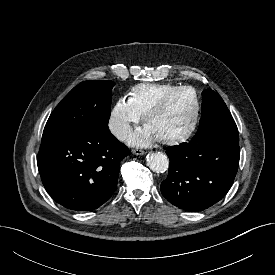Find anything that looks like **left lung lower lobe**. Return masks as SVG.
<instances>
[{"mask_svg": "<svg viewBox=\"0 0 275 275\" xmlns=\"http://www.w3.org/2000/svg\"><path fill=\"white\" fill-rule=\"evenodd\" d=\"M166 153L170 164L161 192L170 203L190 212L219 202L239 166L238 140H191L166 148Z\"/></svg>", "mask_w": 275, "mask_h": 275, "instance_id": "1", "label": "left lung lower lobe"}]
</instances>
